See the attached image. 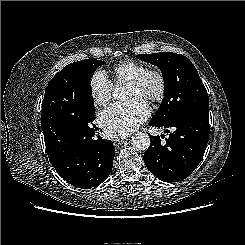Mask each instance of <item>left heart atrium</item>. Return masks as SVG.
<instances>
[{
    "instance_id": "1",
    "label": "left heart atrium",
    "mask_w": 245,
    "mask_h": 245,
    "mask_svg": "<svg viewBox=\"0 0 245 245\" xmlns=\"http://www.w3.org/2000/svg\"><path fill=\"white\" fill-rule=\"evenodd\" d=\"M145 100L134 97L124 103H114L103 110L98 121L111 136H124L134 131L149 116Z\"/></svg>"
}]
</instances>
